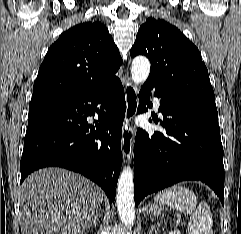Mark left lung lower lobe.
Wrapping results in <instances>:
<instances>
[{"mask_svg": "<svg viewBox=\"0 0 241 234\" xmlns=\"http://www.w3.org/2000/svg\"><path fill=\"white\" fill-rule=\"evenodd\" d=\"M161 98L166 133L137 130L134 147L135 205L148 194L185 180L209 185L224 204L223 147L217 109L166 92L147 80L139 93L138 113L147 111L150 90ZM152 105L148 104V107ZM151 122V120H150Z\"/></svg>", "mask_w": 241, "mask_h": 234, "instance_id": "0a47b994", "label": "left lung lower lobe"}]
</instances>
